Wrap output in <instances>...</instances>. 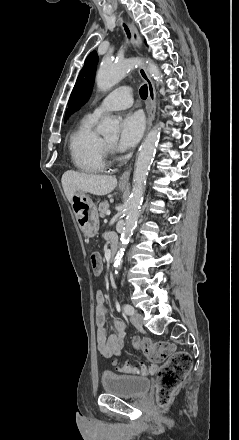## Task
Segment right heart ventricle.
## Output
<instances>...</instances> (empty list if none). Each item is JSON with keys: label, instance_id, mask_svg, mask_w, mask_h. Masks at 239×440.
I'll list each match as a JSON object with an SVG mask.
<instances>
[{"label": "right heart ventricle", "instance_id": "1", "mask_svg": "<svg viewBox=\"0 0 239 440\" xmlns=\"http://www.w3.org/2000/svg\"><path fill=\"white\" fill-rule=\"evenodd\" d=\"M94 119L91 116L84 117L68 141L73 166L85 173H100L106 168L101 138L92 130Z\"/></svg>", "mask_w": 239, "mask_h": 440}]
</instances>
